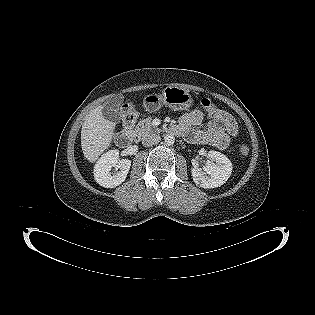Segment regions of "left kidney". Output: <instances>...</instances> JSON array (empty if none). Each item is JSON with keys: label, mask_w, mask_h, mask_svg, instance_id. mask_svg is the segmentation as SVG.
I'll return each instance as SVG.
<instances>
[{"label": "left kidney", "mask_w": 315, "mask_h": 315, "mask_svg": "<svg viewBox=\"0 0 315 315\" xmlns=\"http://www.w3.org/2000/svg\"><path fill=\"white\" fill-rule=\"evenodd\" d=\"M208 158L210 160L206 162L203 171L196 167L191 169L193 181L206 189L220 187L230 177L232 163L224 154L217 151H209Z\"/></svg>", "instance_id": "left-kidney-1"}]
</instances>
